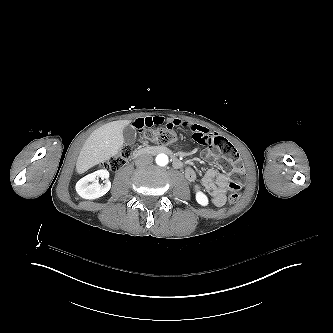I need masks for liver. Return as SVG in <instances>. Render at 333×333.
<instances>
[{
	"label": "liver",
	"mask_w": 333,
	"mask_h": 333,
	"mask_svg": "<svg viewBox=\"0 0 333 333\" xmlns=\"http://www.w3.org/2000/svg\"><path fill=\"white\" fill-rule=\"evenodd\" d=\"M131 122L132 120L112 121L94 130L79 153L77 173L83 174L91 167L115 156L124 143L123 129Z\"/></svg>",
	"instance_id": "obj_1"
}]
</instances>
